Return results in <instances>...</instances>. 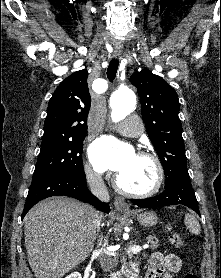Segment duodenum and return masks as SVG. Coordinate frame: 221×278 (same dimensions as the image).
<instances>
[{
	"label": "duodenum",
	"mask_w": 221,
	"mask_h": 278,
	"mask_svg": "<svg viewBox=\"0 0 221 278\" xmlns=\"http://www.w3.org/2000/svg\"><path fill=\"white\" fill-rule=\"evenodd\" d=\"M137 271L133 268H126L117 278H136Z\"/></svg>",
	"instance_id": "410a0bca"
}]
</instances>
